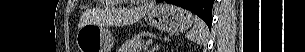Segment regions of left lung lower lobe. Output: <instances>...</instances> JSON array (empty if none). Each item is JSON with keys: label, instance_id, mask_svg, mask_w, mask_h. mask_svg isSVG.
Listing matches in <instances>:
<instances>
[{"label": "left lung lower lobe", "instance_id": "1", "mask_svg": "<svg viewBox=\"0 0 305 52\" xmlns=\"http://www.w3.org/2000/svg\"><path fill=\"white\" fill-rule=\"evenodd\" d=\"M163 2L164 0H157ZM167 3H171L177 6H181L190 10L191 12L202 18L208 27L211 29V14L214 0H165Z\"/></svg>", "mask_w": 305, "mask_h": 52}]
</instances>
